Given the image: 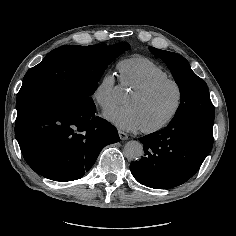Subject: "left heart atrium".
Instances as JSON below:
<instances>
[{
  "label": "left heart atrium",
  "mask_w": 236,
  "mask_h": 236,
  "mask_svg": "<svg viewBox=\"0 0 236 236\" xmlns=\"http://www.w3.org/2000/svg\"><path fill=\"white\" fill-rule=\"evenodd\" d=\"M105 117L122 130H136L141 128V121L137 110L131 106L117 107L106 112Z\"/></svg>",
  "instance_id": "39dd6f15"
}]
</instances>
